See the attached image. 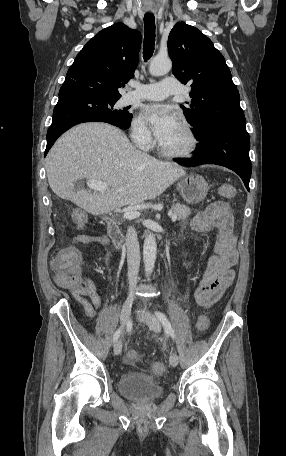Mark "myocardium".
<instances>
[{"instance_id": "obj_1", "label": "myocardium", "mask_w": 286, "mask_h": 456, "mask_svg": "<svg viewBox=\"0 0 286 456\" xmlns=\"http://www.w3.org/2000/svg\"><path fill=\"white\" fill-rule=\"evenodd\" d=\"M180 127L183 129V131L187 135V137L189 139V145L187 146L186 149H184L182 151H170V150L164 148L161 143H159V145H158L159 151L164 156L169 157V158H186V157H190L191 155H193L196 152V150L198 149L199 138H198L197 133L193 129V127L186 122L180 123Z\"/></svg>"}]
</instances>
